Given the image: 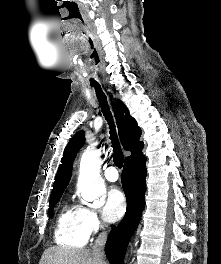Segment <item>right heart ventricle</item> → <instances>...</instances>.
Listing matches in <instances>:
<instances>
[{
    "mask_svg": "<svg viewBox=\"0 0 221 264\" xmlns=\"http://www.w3.org/2000/svg\"><path fill=\"white\" fill-rule=\"evenodd\" d=\"M85 208L66 203L57 218L54 238L58 245L80 248L86 245L89 233L84 221Z\"/></svg>",
    "mask_w": 221,
    "mask_h": 264,
    "instance_id": "obj_1",
    "label": "right heart ventricle"
}]
</instances>
